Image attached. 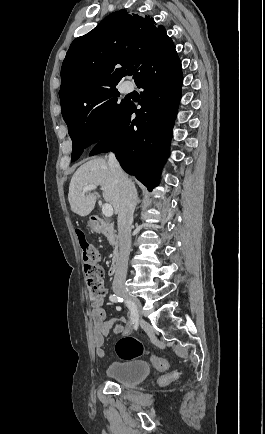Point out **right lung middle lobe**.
Listing matches in <instances>:
<instances>
[{"label": "right lung middle lobe", "mask_w": 265, "mask_h": 434, "mask_svg": "<svg viewBox=\"0 0 265 434\" xmlns=\"http://www.w3.org/2000/svg\"><path fill=\"white\" fill-rule=\"evenodd\" d=\"M81 91L72 98L61 100L63 118L73 142L71 160H77L84 148L100 141L123 120L131 101L119 100L116 85Z\"/></svg>", "instance_id": "1"}]
</instances>
